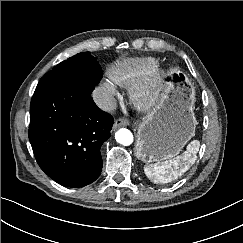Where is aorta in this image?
<instances>
[{
	"instance_id": "762f6f07",
	"label": "aorta",
	"mask_w": 243,
	"mask_h": 243,
	"mask_svg": "<svg viewBox=\"0 0 243 243\" xmlns=\"http://www.w3.org/2000/svg\"><path fill=\"white\" fill-rule=\"evenodd\" d=\"M115 139L121 145L129 146L133 142V134L130 130L121 128L116 132Z\"/></svg>"
}]
</instances>
